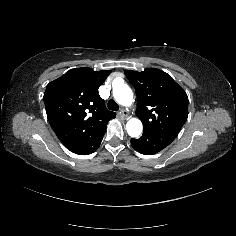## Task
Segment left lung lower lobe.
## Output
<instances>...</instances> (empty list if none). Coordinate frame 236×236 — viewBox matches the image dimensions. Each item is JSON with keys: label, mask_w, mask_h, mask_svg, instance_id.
I'll use <instances>...</instances> for the list:
<instances>
[{"label": "left lung lower lobe", "mask_w": 236, "mask_h": 236, "mask_svg": "<svg viewBox=\"0 0 236 236\" xmlns=\"http://www.w3.org/2000/svg\"><path fill=\"white\" fill-rule=\"evenodd\" d=\"M174 139V136L143 131L139 139H131V145L141 154L152 155L164 149Z\"/></svg>", "instance_id": "1"}]
</instances>
